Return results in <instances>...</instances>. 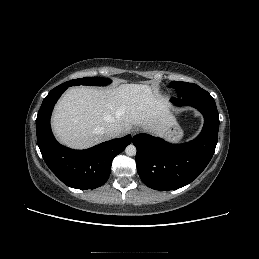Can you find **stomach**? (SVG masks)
<instances>
[{
  "label": "stomach",
  "mask_w": 259,
  "mask_h": 259,
  "mask_svg": "<svg viewBox=\"0 0 259 259\" xmlns=\"http://www.w3.org/2000/svg\"><path fill=\"white\" fill-rule=\"evenodd\" d=\"M183 130L179 126V124L174 120L166 129L164 134L162 135L165 139L176 143L179 142L183 138Z\"/></svg>",
  "instance_id": "0dacf381"
}]
</instances>
